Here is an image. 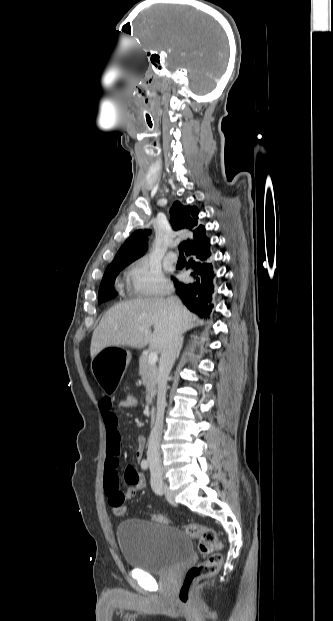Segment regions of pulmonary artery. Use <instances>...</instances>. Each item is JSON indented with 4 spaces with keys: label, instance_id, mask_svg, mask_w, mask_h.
<instances>
[{
    "label": "pulmonary artery",
    "instance_id": "pulmonary-artery-1",
    "mask_svg": "<svg viewBox=\"0 0 333 621\" xmlns=\"http://www.w3.org/2000/svg\"><path fill=\"white\" fill-rule=\"evenodd\" d=\"M167 259L170 260L171 262H175L178 259V256L175 252L173 251H169L166 255Z\"/></svg>",
    "mask_w": 333,
    "mask_h": 621
}]
</instances>
